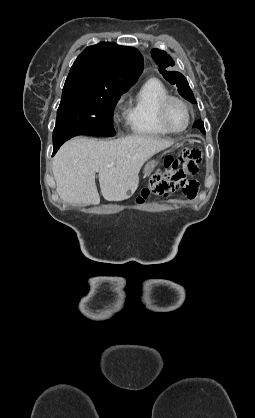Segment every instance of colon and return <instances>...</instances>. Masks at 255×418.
<instances>
[{"label": "colon", "instance_id": "5ec220e1", "mask_svg": "<svg viewBox=\"0 0 255 418\" xmlns=\"http://www.w3.org/2000/svg\"><path fill=\"white\" fill-rule=\"evenodd\" d=\"M201 151L196 148H185L176 156H169L164 161V170L156 172L148 184L136 197V204H143L152 195L167 194L180 189L188 198H194L198 191V183L193 176L198 171Z\"/></svg>", "mask_w": 255, "mask_h": 418}]
</instances>
